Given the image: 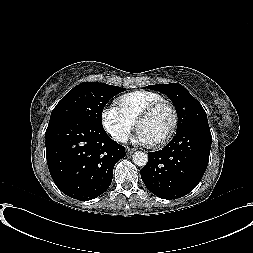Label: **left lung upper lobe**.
I'll return each instance as SVG.
<instances>
[{
	"label": "left lung upper lobe",
	"mask_w": 253,
	"mask_h": 253,
	"mask_svg": "<svg viewBox=\"0 0 253 253\" xmlns=\"http://www.w3.org/2000/svg\"><path fill=\"white\" fill-rule=\"evenodd\" d=\"M147 88L166 94L174 103L178 115L177 129L193 122L208 123L206 112L201 104L182 85L158 84Z\"/></svg>",
	"instance_id": "5c2ea615"
}]
</instances>
